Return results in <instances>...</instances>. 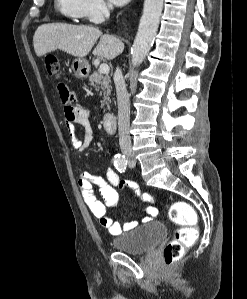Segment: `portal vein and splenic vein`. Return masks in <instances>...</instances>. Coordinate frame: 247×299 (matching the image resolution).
<instances>
[{"label": "portal vein and splenic vein", "instance_id": "obj_1", "mask_svg": "<svg viewBox=\"0 0 247 299\" xmlns=\"http://www.w3.org/2000/svg\"><path fill=\"white\" fill-rule=\"evenodd\" d=\"M99 73L101 74H108L109 73V66L105 63L99 66Z\"/></svg>", "mask_w": 247, "mask_h": 299}]
</instances>
